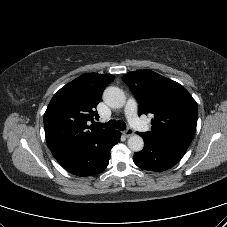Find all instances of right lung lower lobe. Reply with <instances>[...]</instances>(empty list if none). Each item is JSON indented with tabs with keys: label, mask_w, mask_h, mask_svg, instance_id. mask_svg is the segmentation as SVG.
I'll use <instances>...</instances> for the list:
<instances>
[{
	"label": "right lung lower lobe",
	"mask_w": 227,
	"mask_h": 227,
	"mask_svg": "<svg viewBox=\"0 0 227 227\" xmlns=\"http://www.w3.org/2000/svg\"><path fill=\"white\" fill-rule=\"evenodd\" d=\"M121 133L110 130L87 142L56 151L53 156L70 173L92 176L102 172L109 164L110 150L120 141Z\"/></svg>",
	"instance_id": "98d812e1"
}]
</instances>
